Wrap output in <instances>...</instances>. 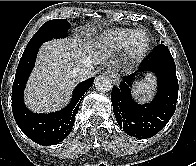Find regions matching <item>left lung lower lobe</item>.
<instances>
[{
	"mask_svg": "<svg viewBox=\"0 0 196 166\" xmlns=\"http://www.w3.org/2000/svg\"><path fill=\"white\" fill-rule=\"evenodd\" d=\"M147 72L157 77L158 90L151 103L141 105L131 97L132 81L137 74ZM178 89L171 53L165 45H157L135 73L124 76L120 87H113L111 102L117 123L128 135L136 138L156 135L175 112Z\"/></svg>",
	"mask_w": 196,
	"mask_h": 166,
	"instance_id": "obj_1",
	"label": "left lung lower lobe"
}]
</instances>
